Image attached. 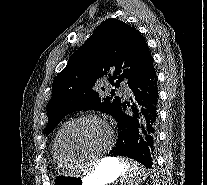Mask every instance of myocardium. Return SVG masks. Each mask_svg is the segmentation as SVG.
Listing matches in <instances>:
<instances>
[{
    "mask_svg": "<svg viewBox=\"0 0 207 185\" xmlns=\"http://www.w3.org/2000/svg\"><path fill=\"white\" fill-rule=\"evenodd\" d=\"M86 120H98L103 122L104 124L107 125V127L109 128L110 131V135H111V140H114L116 137V131L114 126L107 121L106 119L97 116V115H93V114H87V115H83L80 116L74 120H72L63 135V147L65 149V151L73 158L76 159H90V158H100L103 157L105 154V150L99 151V152H95V153H87V152H80V151H76L72 145H71V134L74 130V128L81 122L86 121Z\"/></svg>",
    "mask_w": 207,
    "mask_h": 185,
    "instance_id": "myocardium-1",
    "label": "myocardium"
}]
</instances>
